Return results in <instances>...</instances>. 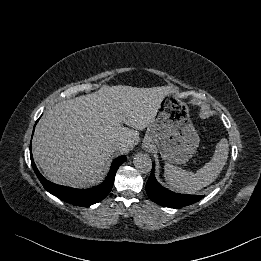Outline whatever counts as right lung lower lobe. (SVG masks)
Returning <instances> with one entry per match:
<instances>
[{
    "instance_id": "right-lung-lower-lobe-1",
    "label": "right lung lower lobe",
    "mask_w": 261,
    "mask_h": 261,
    "mask_svg": "<svg viewBox=\"0 0 261 261\" xmlns=\"http://www.w3.org/2000/svg\"><path fill=\"white\" fill-rule=\"evenodd\" d=\"M31 148V145H30ZM30 157H31V163L33 166V169L41 181L42 185L44 188L51 194L55 195L59 199L73 204L77 206H90L92 204H95L102 199H104L110 192L114 179H115V174L116 171L118 170L119 166L125 162L126 156H120L116 158L110 167V171L105 179V181L92 188V189H87V190H80V189H75L71 187H65V186H60L56 185L54 183H51L50 181L46 180L38 171L34 161H33V156L32 153L30 152Z\"/></svg>"
}]
</instances>
